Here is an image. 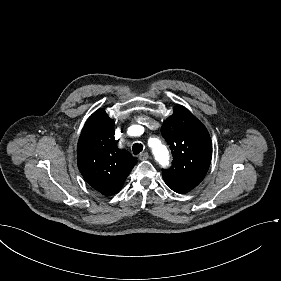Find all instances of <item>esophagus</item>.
Returning a JSON list of instances; mask_svg holds the SVG:
<instances>
[{
    "label": "esophagus",
    "mask_w": 281,
    "mask_h": 281,
    "mask_svg": "<svg viewBox=\"0 0 281 281\" xmlns=\"http://www.w3.org/2000/svg\"><path fill=\"white\" fill-rule=\"evenodd\" d=\"M148 158H149V154H148L147 152H144V153H142V154L139 156V159H140L141 161L147 160Z\"/></svg>",
    "instance_id": "1"
}]
</instances>
